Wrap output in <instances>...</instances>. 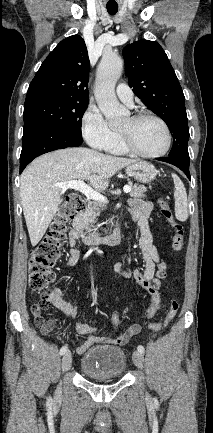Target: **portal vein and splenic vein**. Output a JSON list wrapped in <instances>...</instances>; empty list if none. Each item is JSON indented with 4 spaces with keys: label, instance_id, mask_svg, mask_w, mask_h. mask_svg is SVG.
<instances>
[{
    "label": "portal vein and splenic vein",
    "instance_id": "18ae733b",
    "mask_svg": "<svg viewBox=\"0 0 213 433\" xmlns=\"http://www.w3.org/2000/svg\"><path fill=\"white\" fill-rule=\"evenodd\" d=\"M56 187L61 188L63 191H66L67 189H74L76 191L81 192L86 197L100 202V203H106L107 198L100 194L99 192L92 189L90 186L86 185L82 180H75V181H68L63 183H56ZM123 191L125 193H129L131 191L130 186H124Z\"/></svg>",
    "mask_w": 213,
    "mask_h": 433
}]
</instances>
